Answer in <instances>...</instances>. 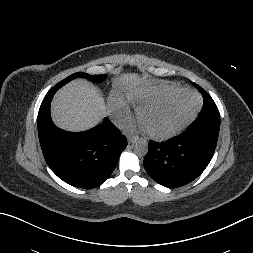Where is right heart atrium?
Instances as JSON below:
<instances>
[{
	"mask_svg": "<svg viewBox=\"0 0 253 253\" xmlns=\"http://www.w3.org/2000/svg\"><path fill=\"white\" fill-rule=\"evenodd\" d=\"M131 118V111L128 105L120 104L118 106V119L121 123H126Z\"/></svg>",
	"mask_w": 253,
	"mask_h": 253,
	"instance_id": "1",
	"label": "right heart atrium"
}]
</instances>
